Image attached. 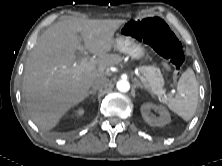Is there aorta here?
Instances as JSON below:
<instances>
[{
  "instance_id": "1",
  "label": "aorta",
  "mask_w": 222,
  "mask_h": 166,
  "mask_svg": "<svg viewBox=\"0 0 222 166\" xmlns=\"http://www.w3.org/2000/svg\"><path fill=\"white\" fill-rule=\"evenodd\" d=\"M116 87L120 92H127L130 89V84L127 80H119Z\"/></svg>"
}]
</instances>
